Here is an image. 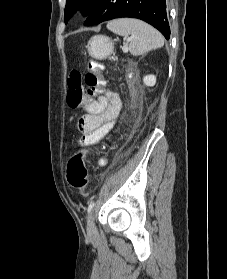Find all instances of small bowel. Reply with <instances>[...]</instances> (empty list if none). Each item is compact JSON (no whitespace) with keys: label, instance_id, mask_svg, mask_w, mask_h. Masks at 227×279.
<instances>
[{"label":"small bowel","instance_id":"1","mask_svg":"<svg viewBox=\"0 0 227 279\" xmlns=\"http://www.w3.org/2000/svg\"><path fill=\"white\" fill-rule=\"evenodd\" d=\"M87 114L78 121V130L82 134L83 145L99 143L103 137L113 128L122 108V101L119 95L107 90L96 100L85 104ZM100 164L106 160L101 159Z\"/></svg>","mask_w":227,"mask_h":279}]
</instances>
